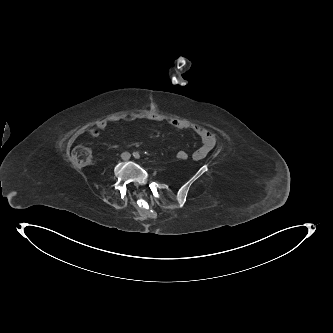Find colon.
Here are the masks:
<instances>
[{"mask_svg":"<svg viewBox=\"0 0 333 333\" xmlns=\"http://www.w3.org/2000/svg\"><path fill=\"white\" fill-rule=\"evenodd\" d=\"M179 159L186 161L189 158L188 153L184 151H179L175 156H173V159ZM72 160L74 164L84 167L91 163L92 161V151L84 146H78L76 147L72 152Z\"/></svg>","mask_w":333,"mask_h":333,"instance_id":"colon-1","label":"colon"}]
</instances>
